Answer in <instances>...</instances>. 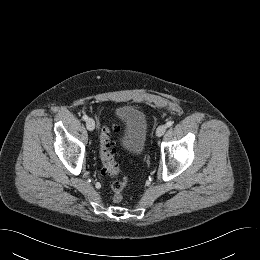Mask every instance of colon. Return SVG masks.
<instances>
[{
  "mask_svg": "<svg viewBox=\"0 0 260 260\" xmlns=\"http://www.w3.org/2000/svg\"><path fill=\"white\" fill-rule=\"evenodd\" d=\"M119 130L117 125L112 127L105 126L100 135V159L103 165L104 172L110 177H118L120 169L118 162L115 159L113 151L112 132ZM128 180L125 176L112 183L111 189L113 192V201L119 203L123 199V191L127 187Z\"/></svg>",
  "mask_w": 260,
  "mask_h": 260,
  "instance_id": "5ec220e1",
  "label": "colon"
}]
</instances>
